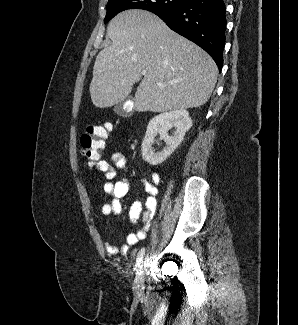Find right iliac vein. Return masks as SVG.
I'll return each mask as SVG.
<instances>
[{"label": "right iliac vein", "mask_w": 298, "mask_h": 325, "mask_svg": "<svg viewBox=\"0 0 298 325\" xmlns=\"http://www.w3.org/2000/svg\"><path fill=\"white\" fill-rule=\"evenodd\" d=\"M134 291L137 295L143 293L144 289V265H140L133 284Z\"/></svg>", "instance_id": "right-iliac-vein-1"}]
</instances>
